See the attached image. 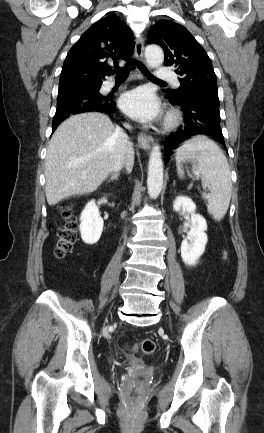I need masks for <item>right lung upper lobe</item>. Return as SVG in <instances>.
Masks as SVG:
<instances>
[{
  "label": "right lung upper lobe",
  "instance_id": "cb5924a9",
  "mask_svg": "<svg viewBox=\"0 0 264 433\" xmlns=\"http://www.w3.org/2000/svg\"><path fill=\"white\" fill-rule=\"evenodd\" d=\"M133 33L117 16L108 15L94 23L71 48L64 61L59 89L104 79L119 69L134 51ZM108 61L114 62L111 69Z\"/></svg>",
  "mask_w": 264,
  "mask_h": 433
}]
</instances>
